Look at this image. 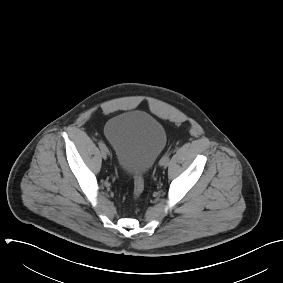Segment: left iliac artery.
<instances>
[{"mask_svg":"<svg viewBox=\"0 0 283 283\" xmlns=\"http://www.w3.org/2000/svg\"><path fill=\"white\" fill-rule=\"evenodd\" d=\"M170 152H167L160 160V162H166V163H169V160H170Z\"/></svg>","mask_w":283,"mask_h":283,"instance_id":"left-iliac-artery-1","label":"left iliac artery"}]
</instances>
